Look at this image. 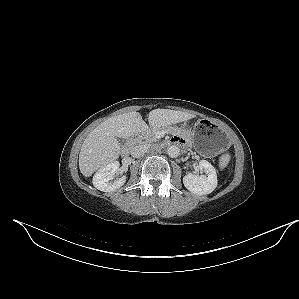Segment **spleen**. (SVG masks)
Instances as JSON below:
<instances>
[{
  "instance_id": "obj_1",
  "label": "spleen",
  "mask_w": 299,
  "mask_h": 299,
  "mask_svg": "<svg viewBox=\"0 0 299 299\" xmlns=\"http://www.w3.org/2000/svg\"><path fill=\"white\" fill-rule=\"evenodd\" d=\"M230 161V155L228 153L223 154L219 159V167L224 169Z\"/></svg>"
}]
</instances>
